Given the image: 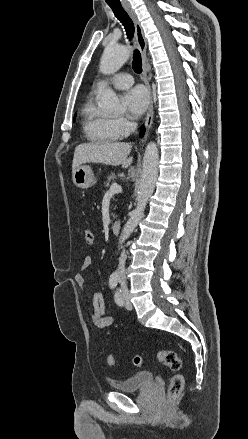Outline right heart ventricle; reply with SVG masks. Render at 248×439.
Masks as SVG:
<instances>
[{"instance_id":"right-heart-ventricle-1","label":"right heart ventricle","mask_w":248,"mask_h":439,"mask_svg":"<svg viewBox=\"0 0 248 439\" xmlns=\"http://www.w3.org/2000/svg\"><path fill=\"white\" fill-rule=\"evenodd\" d=\"M82 127L87 138L96 143H113L123 136L115 131L112 119L101 114L91 94L81 109Z\"/></svg>"}]
</instances>
